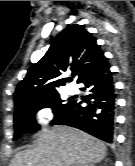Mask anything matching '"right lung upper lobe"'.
<instances>
[{"instance_id":"right-lung-upper-lobe-1","label":"right lung upper lobe","mask_w":135,"mask_h":166,"mask_svg":"<svg viewBox=\"0 0 135 166\" xmlns=\"http://www.w3.org/2000/svg\"><path fill=\"white\" fill-rule=\"evenodd\" d=\"M105 59L91 33L80 25H69L57 35L45 56L29 68L26 77L18 84L14 96L15 110L58 94L56 87L65 85L67 79H54L66 71L71 70L78 82Z\"/></svg>"}]
</instances>
